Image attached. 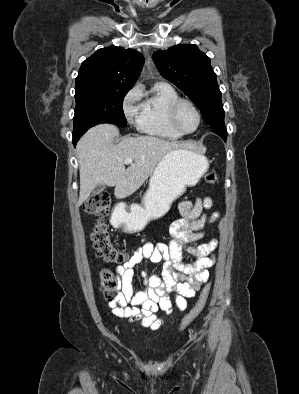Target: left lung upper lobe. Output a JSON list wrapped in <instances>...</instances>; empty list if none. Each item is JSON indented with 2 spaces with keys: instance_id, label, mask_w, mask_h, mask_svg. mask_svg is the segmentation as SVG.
Returning <instances> with one entry per match:
<instances>
[{
  "instance_id": "obj_1",
  "label": "left lung upper lobe",
  "mask_w": 299,
  "mask_h": 394,
  "mask_svg": "<svg viewBox=\"0 0 299 394\" xmlns=\"http://www.w3.org/2000/svg\"><path fill=\"white\" fill-rule=\"evenodd\" d=\"M153 60L160 74L175 84L200 109L212 128H224V109L210 58L195 44L173 46L157 51Z\"/></svg>"
}]
</instances>
